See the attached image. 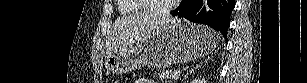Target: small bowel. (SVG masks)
<instances>
[{
    "instance_id": "small-bowel-1",
    "label": "small bowel",
    "mask_w": 307,
    "mask_h": 83,
    "mask_svg": "<svg viewBox=\"0 0 307 83\" xmlns=\"http://www.w3.org/2000/svg\"><path fill=\"white\" fill-rule=\"evenodd\" d=\"M141 83H154V81H152V80H142V81H140Z\"/></svg>"
}]
</instances>
